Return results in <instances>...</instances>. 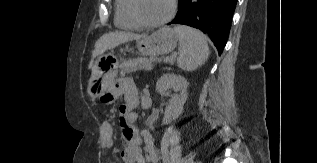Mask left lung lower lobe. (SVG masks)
Wrapping results in <instances>:
<instances>
[{
  "label": "left lung lower lobe",
  "mask_w": 317,
  "mask_h": 163,
  "mask_svg": "<svg viewBox=\"0 0 317 163\" xmlns=\"http://www.w3.org/2000/svg\"><path fill=\"white\" fill-rule=\"evenodd\" d=\"M237 0H179L171 24H186L209 35L221 54L229 35Z\"/></svg>",
  "instance_id": "left-lung-lower-lobe-1"
}]
</instances>
